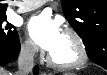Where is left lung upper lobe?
Segmentation results:
<instances>
[{"mask_svg":"<svg viewBox=\"0 0 107 75\" xmlns=\"http://www.w3.org/2000/svg\"><path fill=\"white\" fill-rule=\"evenodd\" d=\"M66 20L82 38L88 56L107 45V0H61Z\"/></svg>","mask_w":107,"mask_h":75,"instance_id":"left-lung-upper-lobe-1","label":"left lung upper lobe"}]
</instances>
